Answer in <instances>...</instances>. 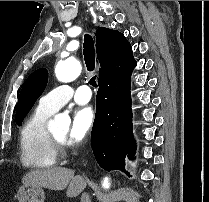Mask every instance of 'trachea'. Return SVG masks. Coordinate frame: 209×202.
I'll use <instances>...</instances> for the list:
<instances>
[{
  "label": "trachea",
  "instance_id": "trachea-1",
  "mask_svg": "<svg viewBox=\"0 0 209 202\" xmlns=\"http://www.w3.org/2000/svg\"><path fill=\"white\" fill-rule=\"evenodd\" d=\"M83 55L84 61L89 72L94 71L95 69V48L94 41L90 35H85L83 43ZM90 85L97 87L96 75H93L89 81Z\"/></svg>",
  "mask_w": 209,
  "mask_h": 202
}]
</instances>
